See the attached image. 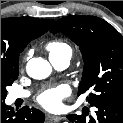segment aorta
I'll list each match as a JSON object with an SVG mask.
<instances>
[{
    "mask_svg": "<svg viewBox=\"0 0 123 123\" xmlns=\"http://www.w3.org/2000/svg\"><path fill=\"white\" fill-rule=\"evenodd\" d=\"M26 71L31 78L41 80L51 74L52 67L50 63L43 58H32L26 65Z\"/></svg>",
    "mask_w": 123,
    "mask_h": 123,
    "instance_id": "1",
    "label": "aorta"
}]
</instances>
